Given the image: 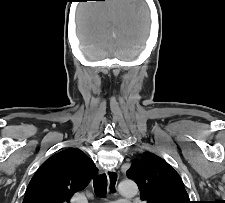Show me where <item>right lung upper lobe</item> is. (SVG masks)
<instances>
[{
	"instance_id": "obj_1",
	"label": "right lung upper lobe",
	"mask_w": 225,
	"mask_h": 203,
	"mask_svg": "<svg viewBox=\"0 0 225 203\" xmlns=\"http://www.w3.org/2000/svg\"><path fill=\"white\" fill-rule=\"evenodd\" d=\"M92 159L78 148L62 150L47 159L31 179L23 203H69L96 174Z\"/></svg>"
}]
</instances>
